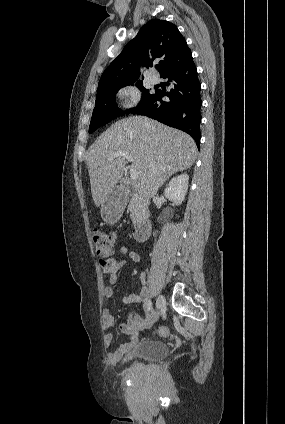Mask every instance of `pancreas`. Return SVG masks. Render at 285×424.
<instances>
[{
    "label": "pancreas",
    "mask_w": 285,
    "mask_h": 424,
    "mask_svg": "<svg viewBox=\"0 0 285 424\" xmlns=\"http://www.w3.org/2000/svg\"><path fill=\"white\" fill-rule=\"evenodd\" d=\"M128 209L131 211L130 218L133 224H136L143 209V201L138 197H133L128 205Z\"/></svg>",
    "instance_id": "1"
}]
</instances>
